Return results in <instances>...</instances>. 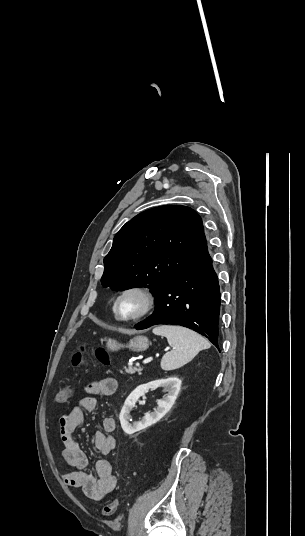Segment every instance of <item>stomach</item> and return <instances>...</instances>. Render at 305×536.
<instances>
[{"label": "stomach", "instance_id": "1", "mask_svg": "<svg viewBox=\"0 0 305 536\" xmlns=\"http://www.w3.org/2000/svg\"><path fill=\"white\" fill-rule=\"evenodd\" d=\"M150 342L148 338H145V336H136V338H133V340H130L128 346L126 348H129V350H132V352H144V350H147L149 348ZM120 348H123L122 344H118L116 340H106V350L108 352H117V350H120Z\"/></svg>", "mask_w": 305, "mask_h": 536}]
</instances>
